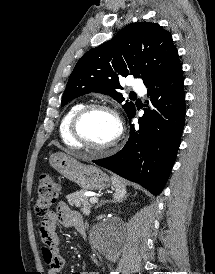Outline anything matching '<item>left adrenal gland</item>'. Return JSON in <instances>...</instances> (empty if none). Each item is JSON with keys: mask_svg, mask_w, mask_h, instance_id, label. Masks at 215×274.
Returning a JSON list of instances; mask_svg holds the SVG:
<instances>
[{"mask_svg": "<svg viewBox=\"0 0 215 274\" xmlns=\"http://www.w3.org/2000/svg\"><path fill=\"white\" fill-rule=\"evenodd\" d=\"M107 202H109V200H107V201H104V200L100 201V203L97 204V206L95 207V209H98L100 206L104 205Z\"/></svg>", "mask_w": 215, "mask_h": 274, "instance_id": "left-adrenal-gland-1", "label": "left adrenal gland"}]
</instances>
